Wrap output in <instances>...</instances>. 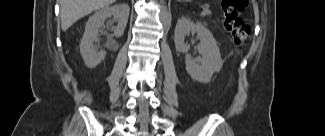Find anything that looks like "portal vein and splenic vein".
Masks as SVG:
<instances>
[{
    "mask_svg": "<svg viewBox=\"0 0 325 136\" xmlns=\"http://www.w3.org/2000/svg\"><path fill=\"white\" fill-rule=\"evenodd\" d=\"M207 13H208V8L206 7V8L202 11L201 15H206Z\"/></svg>",
    "mask_w": 325,
    "mask_h": 136,
    "instance_id": "portal-vein-and-splenic-vein-1",
    "label": "portal vein and splenic vein"
}]
</instances>
